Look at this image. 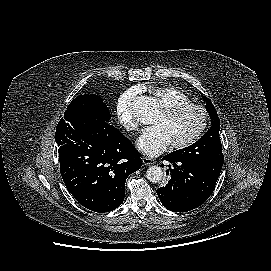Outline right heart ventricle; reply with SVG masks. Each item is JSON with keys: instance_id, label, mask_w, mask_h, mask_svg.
I'll list each match as a JSON object with an SVG mask.
<instances>
[{"instance_id": "obj_1", "label": "right heart ventricle", "mask_w": 271, "mask_h": 271, "mask_svg": "<svg viewBox=\"0 0 271 271\" xmlns=\"http://www.w3.org/2000/svg\"><path fill=\"white\" fill-rule=\"evenodd\" d=\"M149 91L161 108L190 102V98L183 91L173 86H156Z\"/></svg>"}]
</instances>
